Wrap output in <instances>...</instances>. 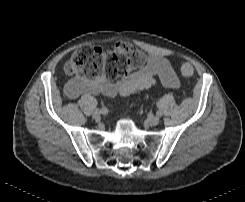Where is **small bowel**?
Instances as JSON below:
<instances>
[{"instance_id": "1", "label": "small bowel", "mask_w": 245, "mask_h": 202, "mask_svg": "<svg viewBox=\"0 0 245 202\" xmlns=\"http://www.w3.org/2000/svg\"><path fill=\"white\" fill-rule=\"evenodd\" d=\"M159 79L170 89H179L180 82L168 61L159 55L150 56L146 64L130 72L120 81H110L105 77L96 79H74L70 84L68 97L76 100L81 96L105 94L110 97L126 96L153 86Z\"/></svg>"}]
</instances>
